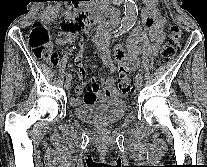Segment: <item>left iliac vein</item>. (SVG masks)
<instances>
[{"label":"left iliac vein","instance_id":"1","mask_svg":"<svg viewBox=\"0 0 207 167\" xmlns=\"http://www.w3.org/2000/svg\"><path fill=\"white\" fill-rule=\"evenodd\" d=\"M141 87H142V79L141 78H136L135 88L136 89H141Z\"/></svg>","mask_w":207,"mask_h":167}]
</instances>
